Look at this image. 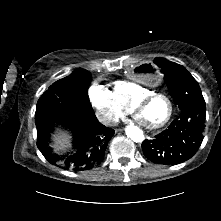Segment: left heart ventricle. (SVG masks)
<instances>
[{
    "label": "left heart ventricle",
    "instance_id": "1",
    "mask_svg": "<svg viewBox=\"0 0 221 221\" xmlns=\"http://www.w3.org/2000/svg\"><path fill=\"white\" fill-rule=\"evenodd\" d=\"M169 112L168 102L161 97L152 99L140 114L141 119L148 124H156L162 121Z\"/></svg>",
    "mask_w": 221,
    "mask_h": 221
}]
</instances>
